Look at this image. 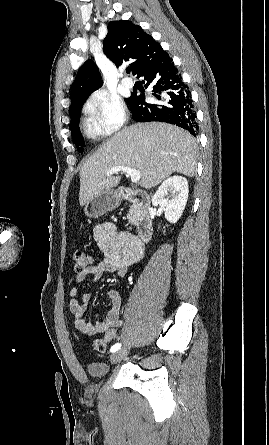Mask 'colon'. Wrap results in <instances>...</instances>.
<instances>
[{"instance_id":"5ec220e1","label":"colon","mask_w":269,"mask_h":445,"mask_svg":"<svg viewBox=\"0 0 269 445\" xmlns=\"http://www.w3.org/2000/svg\"><path fill=\"white\" fill-rule=\"evenodd\" d=\"M74 267L77 273L83 272L89 266L92 265V257L86 253L84 250H76L73 255ZM108 341L107 337L96 339L94 342L95 350L99 352H104L106 349V343Z\"/></svg>"}]
</instances>
